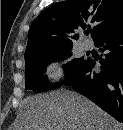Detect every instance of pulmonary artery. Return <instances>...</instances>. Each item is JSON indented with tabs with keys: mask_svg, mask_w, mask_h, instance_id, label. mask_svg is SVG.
Here are the masks:
<instances>
[{
	"mask_svg": "<svg viewBox=\"0 0 123 130\" xmlns=\"http://www.w3.org/2000/svg\"><path fill=\"white\" fill-rule=\"evenodd\" d=\"M82 47H83V49H85V50H89V49H91L92 48V43H91V41H89V40H84L83 42H82Z\"/></svg>",
	"mask_w": 123,
	"mask_h": 130,
	"instance_id": "obj_1",
	"label": "pulmonary artery"
}]
</instances>
